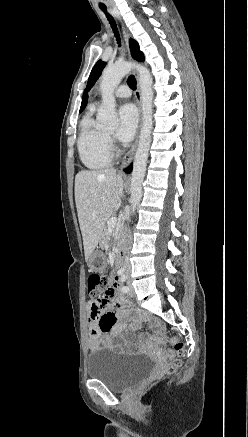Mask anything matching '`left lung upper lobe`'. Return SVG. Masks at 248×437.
<instances>
[{
	"mask_svg": "<svg viewBox=\"0 0 248 437\" xmlns=\"http://www.w3.org/2000/svg\"><path fill=\"white\" fill-rule=\"evenodd\" d=\"M130 49H131V54L132 57L134 59H136L137 61H144V55L143 53L139 50V45L137 44L136 41L130 39ZM106 63L99 60L95 66L93 67L90 77L88 79V83H87V87L84 91V94H86L94 85V83L96 82V80L99 78V76L102 73V70L104 69Z\"/></svg>",
	"mask_w": 248,
	"mask_h": 437,
	"instance_id": "5c2ea615",
	"label": "left lung upper lobe"
}]
</instances>
